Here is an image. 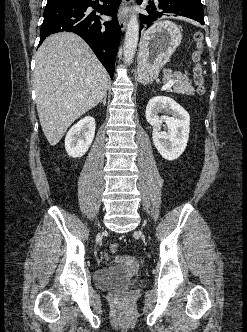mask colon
Returning a JSON list of instances; mask_svg holds the SVG:
<instances>
[{
	"instance_id": "obj_1",
	"label": "colon",
	"mask_w": 247,
	"mask_h": 332,
	"mask_svg": "<svg viewBox=\"0 0 247 332\" xmlns=\"http://www.w3.org/2000/svg\"><path fill=\"white\" fill-rule=\"evenodd\" d=\"M197 49L193 55L194 68H193V77L194 82L198 87V92L203 94L205 91L204 83V70L201 64L202 60V50H203V36L201 33L196 34L195 36ZM109 249L112 253H117L119 251V245L117 243H112L109 246Z\"/></svg>"
}]
</instances>
